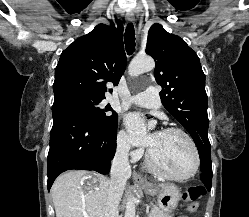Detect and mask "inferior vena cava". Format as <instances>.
I'll return each instance as SVG.
<instances>
[{
	"instance_id": "obj_1",
	"label": "inferior vena cava",
	"mask_w": 249,
	"mask_h": 217,
	"mask_svg": "<svg viewBox=\"0 0 249 217\" xmlns=\"http://www.w3.org/2000/svg\"><path fill=\"white\" fill-rule=\"evenodd\" d=\"M129 146L121 142L117 146L116 154L111 167L106 202V217H118V206L122 198L126 181L131 176V167L128 160Z\"/></svg>"
}]
</instances>
